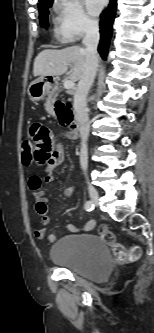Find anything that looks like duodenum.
I'll return each instance as SVG.
<instances>
[{"label":"duodenum","instance_id":"410a0bca","mask_svg":"<svg viewBox=\"0 0 154 333\" xmlns=\"http://www.w3.org/2000/svg\"><path fill=\"white\" fill-rule=\"evenodd\" d=\"M80 128H79V124L76 120H74L71 124V133L72 135L76 136L79 134Z\"/></svg>","mask_w":154,"mask_h":333}]
</instances>
